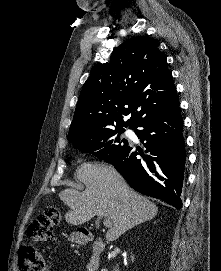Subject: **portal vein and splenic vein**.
I'll return each mask as SVG.
<instances>
[{"mask_svg": "<svg viewBox=\"0 0 221 271\" xmlns=\"http://www.w3.org/2000/svg\"><path fill=\"white\" fill-rule=\"evenodd\" d=\"M98 217H104V219H103L104 225H106V227H111L112 221H111L109 215H98Z\"/></svg>", "mask_w": 221, "mask_h": 271, "instance_id": "18ae733b", "label": "portal vein and splenic vein"}]
</instances>
